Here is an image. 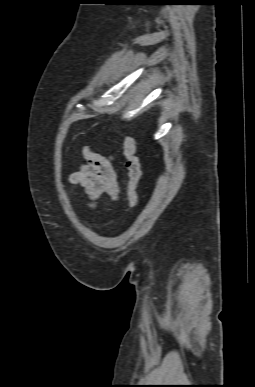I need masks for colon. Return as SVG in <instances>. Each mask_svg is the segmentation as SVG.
Instances as JSON below:
<instances>
[{
    "label": "colon",
    "instance_id": "colon-1",
    "mask_svg": "<svg viewBox=\"0 0 255 387\" xmlns=\"http://www.w3.org/2000/svg\"><path fill=\"white\" fill-rule=\"evenodd\" d=\"M123 153L128 172L127 200L129 207L133 208L138 202L137 187L141 179V165L137 156V141L133 137H124Z\"/></svg>",
    "mask_w": 255,
    "mask_h": 387
}]
</instances>
